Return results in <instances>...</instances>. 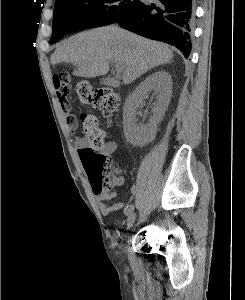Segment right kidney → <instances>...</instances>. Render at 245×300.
<instances>
[{"label":"right kidney","instance_id":"1","mask_svg":"<svg viewBox=\"0 0 245 300\" xmlns=\"http://www.w3.org/2000/svg\"><path fill=\"white\" fill-rule=\"evenodd\" d=\"M153 92L155 102L153 104V116L150 123L146 125L137 123V110L143 104V100ZM172 95V80L169 73L158 71L147 77L129 95L123 107L124 135L130 144L144 146L152 141L156 135V128L163 118Z\"/></svg>","mask_w":245,"mask_h":300}]
</instances>
